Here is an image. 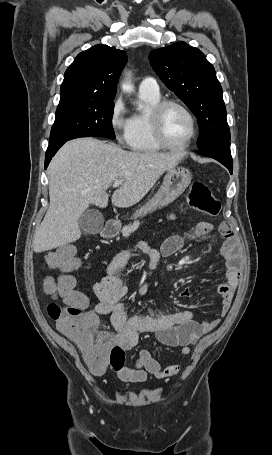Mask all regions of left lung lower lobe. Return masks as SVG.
<instances>
[{
    "instance_id": "left-lung-lower-lobe-1",
    "label": "left lung lower lobe",
    "mask_w": 272,
    "mask_h": 455,
    "mask_svg": "<svg viewBox=\"0 0 272 455\" xmlns=\"http://www.w3.org/2000/svg\"><path fill=\"white\" fill-rule=\"evenodd\" d=\"M198 154L214 158L228 168L230 173L233 171V163L230 151V140H223L218 143L211 144L197 151Z\"/></svg>"
}]
</instances>
